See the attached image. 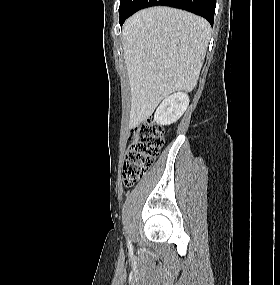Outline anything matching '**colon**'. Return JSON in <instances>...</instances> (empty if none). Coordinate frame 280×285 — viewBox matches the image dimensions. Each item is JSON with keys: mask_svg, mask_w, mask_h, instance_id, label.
<instances>
[{"mask_svg": "<svg viewBox=\"0 0 280 285\" xmlns=\"http://www.w3.org/2000/svg\"><path fill=\"white\" fill-rule=\"evenodd\" d=\"M164 145V130L152 121L132 128L123 163V182L127 187L138 182L152 166Z\"/></svg>", "mask_w": 280, "mask_h": 285, "instance_id": "colon-1", "label": "colon"}]
</instances>
